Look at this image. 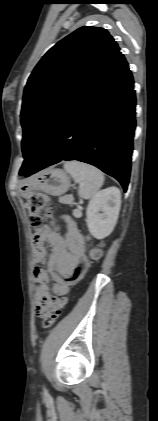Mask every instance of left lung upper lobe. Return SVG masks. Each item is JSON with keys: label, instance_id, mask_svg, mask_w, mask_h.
<instances>
[{"label": "left lung upper lobe", "instance_id": "obj_1", "mask_svg": "<svg viewBox=\"0 0 158 421\" xmlns=\"http://www.w3.org/2000/svg\"><path fill=\"white\" fill-rule=\"evenodd\" d=\"M118 51L107 30L84 26L39 61L24 90L20 174L34 165L62 114Z\"/></svg>", "mask_w": 158, "mask_h": 421}]
</instances>
